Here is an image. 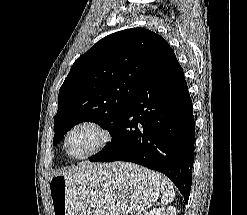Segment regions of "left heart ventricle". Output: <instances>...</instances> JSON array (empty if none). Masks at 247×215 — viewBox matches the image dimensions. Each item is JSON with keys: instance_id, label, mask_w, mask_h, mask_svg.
<instances>
[{"instance_id": "left-heart-ventricle-1", "label": "left heart ventricle", "mask_w": 247, "mask_h": 215, "mask_svg": "<svg viewBox=\"0 0 247 215\" xmlns=\"http://www.w3.org/2000/svg\"><path fill=\"white\" fill-rule=\"evenodd\" d=\"M98 134L91 128L77 129L68 140L69 152L74 156H81L89 152L97 143Z\"/></svg>"}]
</instances>
